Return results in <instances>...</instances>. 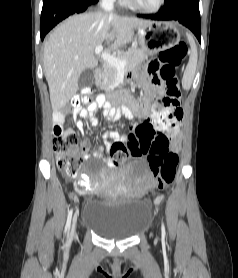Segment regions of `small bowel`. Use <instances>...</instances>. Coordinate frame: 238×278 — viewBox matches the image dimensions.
Listing matches in <instances>:
<instances>
[{"label": "small bowel", "mask_w": 238, "mask_h": 278, "mask_svg": "<svg viewBox=\"0 0 238 278\" xmlns=\"http://www.w3.org/2000/svg\"><path fill=\"white\" fill-rule=\"evenodd\" d=\"M148 67H146V76H152L149 82L147 81L146 76L143 73H136L131 76V79L136 80L145 90V96L141 102H135L128 100L125 104L115 106L110 100L107 99L105 95H99L96 98V107L102 108L103 117L111 120L117 121L121 117L128 119L133 118L134 116L149 118L153 116V112L150 105V100L152 98L153 102L157 101V98L160 97L159 93H153L154 89H165V84H163V76H159V72L163 69V64H161V59H157V55H150L148 60ZM173 119L172 126L170 129L165 131L162 134H157V127L153 126V121H146L142 124L136 125L131 128L129 134L121 135L116 131H106L103 133V147H99L93 155L87 153L89 149V143L83 141L81 143L83 154V159L88 160L92 156L95 158H104L103 152L104 149L110 150L114 144H130L132 142H139L140 137H153L152 144H170V151H176L180 146L179 139V128L180 121L182 118V111L179 108V102L175 100L173 107ZM78 116L86 119L93 127L99 125V120L94 114V110L90 111L87 109H77L72 112V117L75 122L76 127L81 130L83 128V123ZM53 119V129L54 133L57 132H73L72 129L64 128L65 115L61 111H55L52 116ZM146 126V127H143ZM154 186V182L151 180L147 181V189H151ZM76 190L78 192H83L85 190L81 182L76 183ZM72 199H76L75 195H71Z\"/></svg>", "instance_id": "c3829d8e"}]
</instances>
